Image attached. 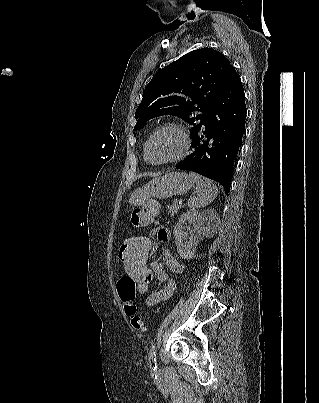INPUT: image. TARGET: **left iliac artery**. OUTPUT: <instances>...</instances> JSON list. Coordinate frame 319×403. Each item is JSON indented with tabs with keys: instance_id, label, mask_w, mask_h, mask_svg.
<instances>
[{
	"instance_id": "1",
	"label": "left iliac artery",
	"mask_w": 319,
	"mask_h": 403,
	"mask_svg": "<svg viewBox=\"0 0 319 403\" xmlns=\"http://www.w3.org/2000/svg\"><path fill=\"white\" fill-rule=\"evenodd\" d=\"M149 360H150V367L155 370L157 368V363H156V346L154 344L152 345L149 352Z\"/></svg>"
}]
</instances>
